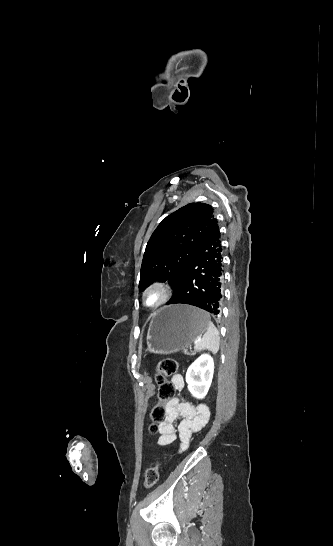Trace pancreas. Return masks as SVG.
Masks as SVG:
<instances>
[{"mask_svg": "<svg viewBox=\"0 0 333 546\" xmlns=\"http://www.w3.org/2000/svg\"><path fill=\"white\" fill-rule=\"evenodd\" d=\"M184 354H186V355H193V353H189L186 349L184 350Z\"/></svg>", "mask_w": 333, "mask_h": 546, "instance_id": "pancreas-1", "label": "pancreas"}]
</instances>
